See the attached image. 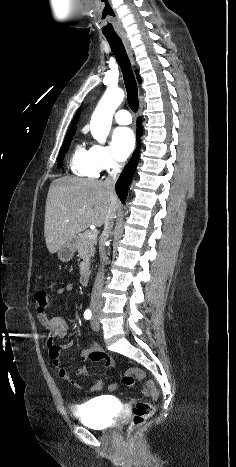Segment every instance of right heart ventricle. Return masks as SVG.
Instances as JSON below:
<instances>
[{
    "instance_id": "right-heart-ventricle-1",
    "label": "right heart ventricle",
    "mask_w": 236,
    "mask_h": 467,
    "mask_svg": "<svg viewBox=\"0 0 236 467\" xmlns=\"http://www.w3.org/2000/svg\"><path fill=\"white\" fill-rule=\"evenodd\" d=\"M70 168L75 175L81 177L97 178L100 173L92 163L90 149H86L82 144L75 146L70 159Z\"/></svg>"
}]
</instances>
